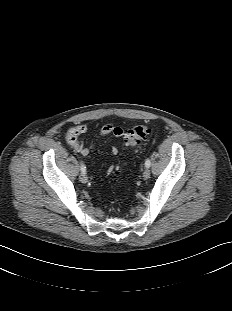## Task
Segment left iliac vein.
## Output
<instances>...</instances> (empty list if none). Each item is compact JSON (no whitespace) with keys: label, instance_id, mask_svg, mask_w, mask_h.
Here are the masks:
<instances>
[{"label":"left iliac vein","instance_id":"4c4485c4","mask_svg":"<svg viewBox=\"0 0 232 311\" xmlns=\"http://www.w3.org/2000/svg\"><path fill=\"white\" fill-rule=\"evenodd\" d=\"M150 170L148 168H146L143 172V178L146 180L150 177Z\"/></svg>","mask_w":232,"mask_h":311}]
</instances>
